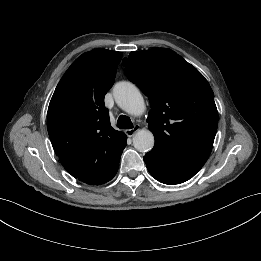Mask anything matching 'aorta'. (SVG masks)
<instances>
[{
    "instance_id": "1",
    "label": "aorta",
    "mask_w": 261,
    "mask_h": 261,
    "mask_svg": "<svg viewBox=\"0 0 261 261\" xmlns=\"http://www.w3.org/2000/svg\"><path fill=\"white\" fill-rule=\"evenodd\" d=\"M113 96L117 105L128 114L140 116L145 112L144 99L134 84L117 83L113 89ZM133 144L136 150L148 152L154 146V136L150 130L141 129L135 134Z\"/></svg>"
}]
</instances>
